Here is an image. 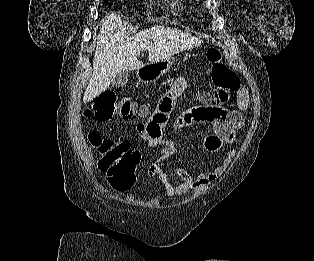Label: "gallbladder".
Returning a JSON list of instances; mask_svg holds the SVG:
<instances>
[{
    "instance_id": "bac80fb5",
    "label": "gallbladder",
    "mask_w": 314,
    "mask_h": 261,
    "mask_svg": "<svg viewBox=\"0 0 314 261\" xmlns=\"http://www.w3.org/2000/svg\"><path fill=\"white\" fill-rule=\"evenodd\" d=\"M129 80V73L128 71H120L112 80L111 85L113 87H122L124 86Z\"/></svg>"
}]
</instances>
